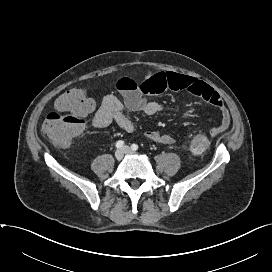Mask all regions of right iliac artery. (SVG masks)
<instances>
[{"instance_id":"82829eb1","label":"right iliac artery","mask_w":272,"mask_h":272,"mask_svg":"<svg viewBox=\"0 0 272 272\" xmlns=\"http://www.w3.org/2000/svg\"><path fill=\"white\" fill-rule=\"evenodd\" d=\"M123 145H124V141H122V140H119V141L116 142V147L117 148H122Z\"/></svg>"}]
</instances>
